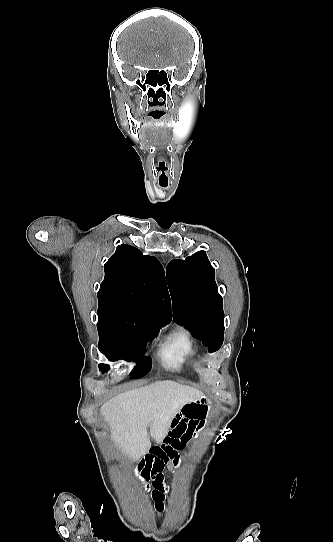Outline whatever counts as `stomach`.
Segmentation results:
<instances>
[{"label":"stomach","mask_w":333,"mask_h":542,"mask_svg":"<svg viewBox=\"0 0 333 542\" xmlns=\"http://www.w3.org/2000/svg\"><path fill=\"white\" fill-rule=\"evenodd\" d=\"M198 400H202V402H203V400H205V396H200V398H198Z\"/></svg>","instance_id":"obj_1"}]
</instances>
